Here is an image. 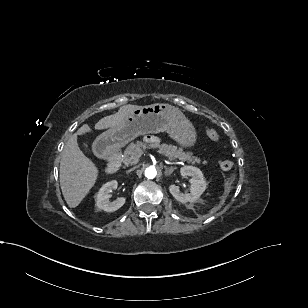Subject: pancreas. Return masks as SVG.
I'll return each mask as SVG.
<instances>
[{
  "label": "pancreas",
  "mask_w": 308,
  "mask_h": 308,
  "mask_svg": "<svg viewBox=\"0 0 308 308\" xmlns=\"http://www.w3.org/2000/svg\"><path fill=\"white\" fill-rule=\"evenodd\" d=\"M147 148H158V152L162 155L174 159L178 158L183 161H188L189 163H200L201 159L193 156L190 152H183L182 149H178L174 145H168L165 143L162 144H145L141 141H137L136 143H131L124 151V155L122 158L123 163L128 166L132 164H136L141 157L143 151ZM203 164L206 165L207 162L203 161Z\"/></svg>",
  "instance_id": "cf45deb5"
}]
</instances>
